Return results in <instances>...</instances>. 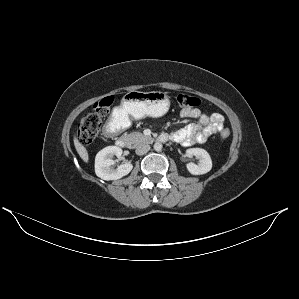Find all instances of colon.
<instances>
[{
	"instance_id": "obj_1",
	"label": "colon",
	"mask_w": 299,
	"mask_h": 299,
	"mask_svg": "<svg viewBox=\"0 0 299 299\" xmlns=\"http://www.w3.org/2000/svg\"><path fill=\"white\" fill-rule=\"evenodd\" d=\"M176 103L181 108H194L200 104L198 98L186 93H179L175 96ZM113 103V98L110 96L104 97L93 105V111L83 117L78 125V135L82 142L92 143L99 134L102 118L110 112ZM230 130L224 128L220 132L223 139L228 138Z\"/></svg>"
}]
</instances>
